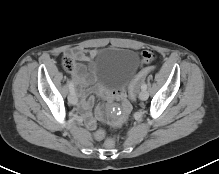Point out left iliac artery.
Wrapping results in <instances>:
<instances>
[{
	"mask_svg": "<svg viewBox=\"0 0 219 174\" xmlns=\"http://www.w3.org/2000/svg\"><path fill=\"white\" fill-rule=\"evenodd\" d=\"M141 89H142V90H146V89H147V84H146V83H143V84L141 85Z\"/></svg>",
	"mask_w": 219,
	"mask_h": 174,
	"instance_id": "1",
	"label": "left iliac artery"
}]
</instances>
